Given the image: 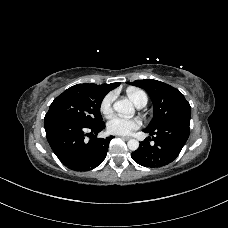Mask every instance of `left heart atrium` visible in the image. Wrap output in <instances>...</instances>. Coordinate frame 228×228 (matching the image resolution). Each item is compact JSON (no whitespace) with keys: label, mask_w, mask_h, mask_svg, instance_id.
Here are the masks:
<instances>
[{"label":"left heart atrium","mask_w":228,"mask_h":228,"mask_svg":"<svg viewBox=\"0 0 228 228\" xmlns=\"http://www.w3.org/2000/svg\"><path fill=\"white\" fill-rule=\"evenodd\" d=\"M140 125L141 122L139 119H127L120 116H114L108 121L107 128L111 133L125 135L139 128Z\"/></svg>","instance_id":"39dd6f15"}]
</instances>
